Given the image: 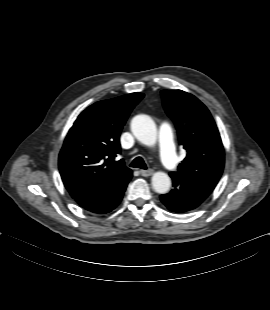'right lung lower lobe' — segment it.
Returning a JSON list of instances; mask_svg holds the SVG:
<instances>
[{"label": "right lung lower lobe", "mask_w": 270, "mask_h": 310, "mask_svg": "<svg viewBox=\"0 0 270 310\" xmlns=\"http://www.w3.org/2000/svg\"><path fill=\"white\" fill-rule=\"evenodd\" d=\"M132 171L124 172L104 187L87 194L75 197L74 200L85 210L96 214H105L121 202Z\"/></svg>", "instance_id": "right-lung-lower-lobe-1"}]
</instances>
